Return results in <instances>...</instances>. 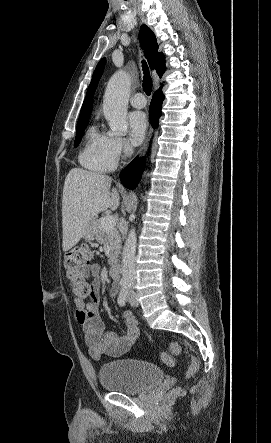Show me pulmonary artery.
Wrapping results in <instances>:
<instances>
[{
    "label": "pulmonary artery",
    "mask_w": 271,
    "mask_h": 443,
    "mask_svg": "<svg viewBox=\"0 0 271 443\" xmlns=\"http://www.w3.org/2000/svg\"><path fill=\"white\" fill-rule=\"evenodd\" d=\"M130 104L135 108L145 107L147 100L142 93H135L130 97Z\"/></svg>",
    "instance_id": "1"
}]
</instances>
